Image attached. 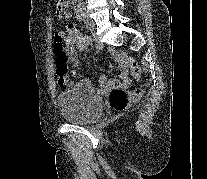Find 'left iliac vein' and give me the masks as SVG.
<instances>
[{"mask_svg":"<svg viewBox=\"0 0 207 179\" xmlns=\"http://www.w3.org/2000/svg\"><path fill=\"white\" fill-rule=\"evenodd\" d=\"M84 17H85V25L89 30H93V22L91 21V19L87 16V13L84 12Z\"/></svg>","mask_w":207,"mask_h":179,"instance_id":"4c4485c4","label":"left iliac vein"}]
</instances>
